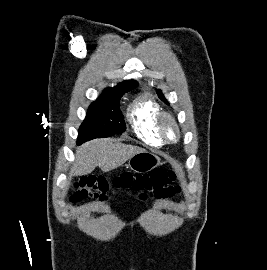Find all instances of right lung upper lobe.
<instances>
[{
  "instance_id": "obj_1",
  "label": "right lung upper lobe",
  "mask_w": 267,
  "mask_h": 270,
  "mask_svg": "<svg viewBox=\"0 0 267 270\" xmlns=\"http://www.w3.org/2000/svg\"><path fill=\"white\" fill-rule=\"evenodd\" d=\"M138 85V83L134 80L130 81H124L122 83H119L117 86L113 88H107L104 91H110V92H124L127 90H131L135 88Z\"/></svg>"
}]
</instances>
